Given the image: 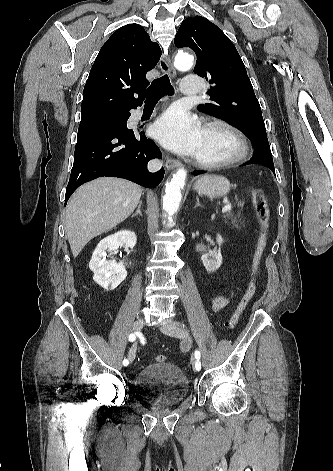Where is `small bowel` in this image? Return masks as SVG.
<instances>
[{
  "label": "small bowel",
  "mask_w": 333,
  "mask_h": 471,
  "mask_svg": "<svg viewBox=\"0 0 333 471\" xmlns=\"http://www.w3.org/2000/svg\"><path fill=\"white\" fill-rule=\"evenodd\" d=\"M231 300L232 298L230 296H225V295L214 296L211 300V307L214 311L218 312L224 309L225 307H227L230 304Z\"/></svg>",
  "instance_id": "small-bowel-1"
}]
</instances>
